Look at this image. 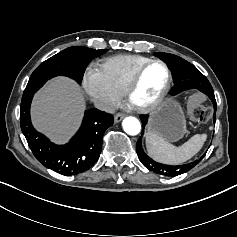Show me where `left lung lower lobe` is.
I'll return each instance as SVG.
<instances>
[{"label": "left lung lower lobe", "mask_w": 237, "mask_h": 237, "mask_svg": "<svg viewBox=\"0 0 237 237\" xmlns=\"http://www.w3.org/2000/svg\"><path fill=\"white\" fill-rule=\"evenodd\" d=\"M212 101L213 105H214V114H213V121L215 123L216 121V100H215V97H214V91H209L207 94H206Z\"/></svg>", "instance_id": "left-lung-lower-lobe-1"}]
</instances>
